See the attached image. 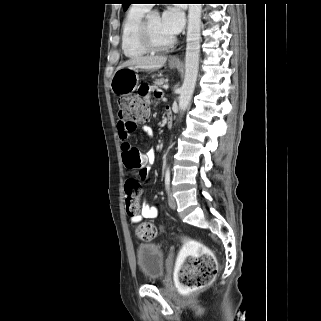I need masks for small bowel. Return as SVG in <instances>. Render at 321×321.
I'll return each instance as SVG.
<instances>
[{
  "mask_svg": "<svg viewBox=\"0 0 321 321\" xmlns=\"http://www.w3.org/2000/svg\"><path fill=\"white\" fill-rule=\"evenodd\" d=\"M150 87L148 86V84L146 82L143 83H138L137 88H136V93L138 95V97H144L143 99V103L145 105H148L150 103V98H149V92H150ZM154 95L156 98H162L163 94L161 91L155 90L154 91ZM117 129H118V137L120 140V144H121V151H122V157H123V161L125 163L127 157L133 153V152H137L138 150L133 147L128 139L130 136V133L133 131L131 129H128L123 122L118 121L117 123ZM143 131L145 132V134L149 137L153 136V130L152 128L145 126L143 128ZM142 158L144 159L145 163L148 162V160L150 158H154V153L151 152L150 154L147 155H142ZM139 176L142 179H147L148 177V169L147 167L144 165L140 171H139ZM158 216V208L156 206H151L148 204H143L141 206L140 212L136 215H133L131 217V221L133 223H138L140 221H142L143 219H155Z\"/></svg>",
  "mask_w": 321,
  "mask_h": 321,
  "instance_id": "c3829d8e",
  "label": "small bowel"
}]
</instances>
